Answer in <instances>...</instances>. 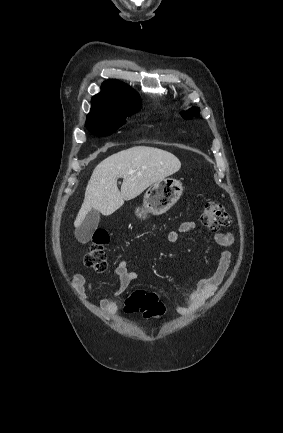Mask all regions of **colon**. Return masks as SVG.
Returning <instances> with one entry per match:
<instances>
[{
	"label": "colon",
	"mask_w": 283,
	"mask_h": 433,
	"mask_svg": "<svg viewBox=\"0 0 283 433\" xmlns=\"http://www.w3.org/2000/svg\"><path fill=\"white\" fill-rule=\"evenodd\" d=\"M201 220L203 225L211 230L218 231L231 224V217L223 206L215 201L205 203ZM109 239L107 234L98 233L84 253V264L98 272H104L109 267L105 245ZM125 311L128 313H140L145 318H159L165 308L158 296L153 292L138 290L133 292L125 300Z\"/></svg>",
	"instance_id": "5ec220e1"
}]
</instances>
